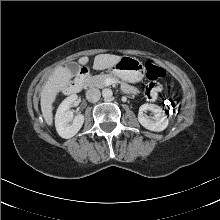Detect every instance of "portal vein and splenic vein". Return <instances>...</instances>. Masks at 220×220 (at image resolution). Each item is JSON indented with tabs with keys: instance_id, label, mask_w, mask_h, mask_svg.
<instances>
[{
	"instance_id": "obj_1",
	"label": "portal vein and splenic vein",
	"mask_w": 220,
	"mask_h": 220,
	"mask_svg": "<svg viewBox=\"0 0 220 220\" xmlns=\"http://www.w3.org/2000/svg\"><path fill=\"white\" fill-rule=\"evenodd\" d=\"M114 82H115V81H114L113 79H106V83L109 84V85L112 84V83H114Z\"/></svg>"
}]
</instances>
